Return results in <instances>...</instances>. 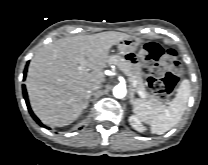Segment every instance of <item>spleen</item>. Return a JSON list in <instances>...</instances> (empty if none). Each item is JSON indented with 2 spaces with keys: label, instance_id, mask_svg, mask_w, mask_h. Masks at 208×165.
Returning a JSON list of instances; mask_svg holds the SVG:
<instances>
[{
  "label": "spleen",
  "instance_id": "3e777b00",
  "mask_svg": "<svg viewBox=\"0 0 208 165\" xmlns=\"http://www.w3.org/2000/svg\"><path fill=\"white\" fill-rule=\"evenodd\" d=\"M191 94L189 80L181 82L175 98L169 106L160 105L143 99L133 102V113L146 124L150 125L152 133L164 134L173 128L182 118Z\"/></svg>",
  "mask_w": 208,
  "mask_h": 165
}]
</instances>
